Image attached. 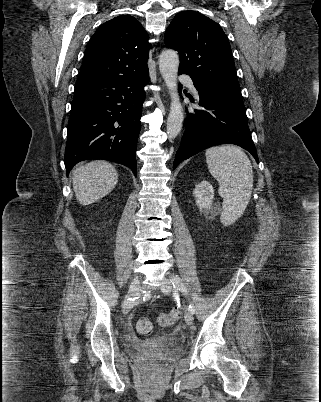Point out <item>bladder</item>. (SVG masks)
I'll return each mask as SVG.
<instances>
[{
	"label": "bladder",
	"instance_id": "1",
	"mask_svg": "<svg viewBox=\"0 0 321 402\" xmlns=\"http://www.w3.org/2000/svg\"><path fill=\"white\" fill-rule=\"evenodd\" d=\"M158 341L157 338H152L146 341V348L148 349V351H150L151 353H153L155 356H157L158 354L156 353V342Z\"/></svg>",
	"mask_w": 321,
	"mask_h": 402
}]
</instances>
